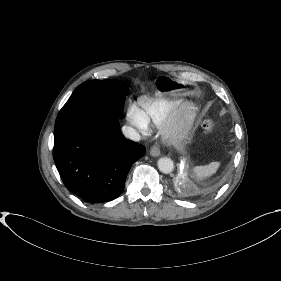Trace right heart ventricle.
<instances>
[{
  "instance_id": "1",
  "label": "right heart ventricle",
  "mask_w": 281,
  "mask_h": 281,
  "mask_svg": "<svg viewBox=\"0 0 281 281\" xmlns=\"http://www.w3.org/2000/svg\"><path fill=\"white\" fill-rule=\"evenodd\" d=\"M183 103V100L170 96H143L138 100V112L143 124L161 125Z\"/></svg>"
}]
</instances>
